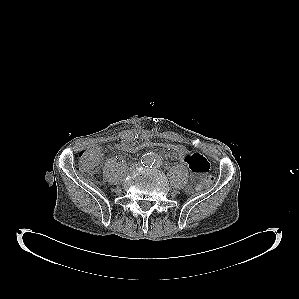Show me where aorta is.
Here are the masks:
<instances>
[{"mask_svg": "<svg viewBox=\"0 0 299 299\" xmlns=\"http://www.w3.org/2000/svg\"><path fill=\"white\" fill-rule=\"evenodd\" d=\"M158 162V157L154 153H146L142 156V164L146 167H152Z\"/></svg>", "mask_w": 299, "mask_h": 299, "instance_id": "1", "label": "aorta"}]
</instances>
